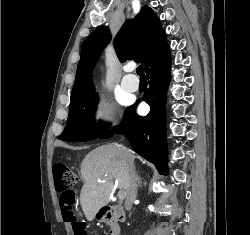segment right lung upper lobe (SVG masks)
Masks as SVG:
<instances>
[{
    "mask_svg": "<svg viewBox=\"0 0 250 235\" xmlns=\"http://www.w3.org/2000/svg\"><path fill=\"white\" fill-rule=\"evenodd\" d=\"M110 37L109 29L101 26L84 41L71 101L94 90L91 73ZM167 45L166 34L160 21L148 6H144L134 19L126 21L114 40V48L120 61L134 59L141 62L145 70Z\"/></svg>",
    "mask_w": 250,
    "mask_h": 235,
    "instance_id": "obj_1",
    "label": "right lung upper lobe"
}]
</instances>
